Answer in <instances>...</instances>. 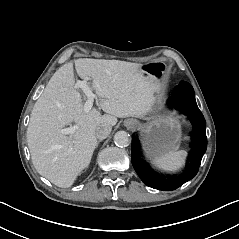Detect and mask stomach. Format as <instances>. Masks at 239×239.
Segmentation results:
<instances>
[{
    "mask_svg": "<svg viewBox=\"0 0 239 239\" xmlns=\"http://www.w3.org/2000/svg\"><path fill=\"white\" fill-rule=\"evenodd\" d=\"M148 73L155 74L162 78V72L146 70ZM179 121L173 117L168 119H157L145 125H138L142 130V142L146 153L152 159H157L163 154L175 151L180 140Z\"/></svg>",
    "mask_w": 239,
    "mask_h": 239,
    "instance_id": "0dacf381",
    "label": "stomach"
}]
</instances>
